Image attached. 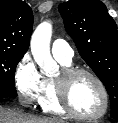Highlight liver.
Returning a JSON list of instances; mask_svg holds the SVG:
<instances>
[{"instance_id":"liver-1","label":"liver","mask_w":118,"mask_h":123,"mask_svg":"<svg viewBox=\"0 0 118 123\" xmlns=\"http://www.w3.org/2000/svg\"><path fill=\"white\" fill-rule=\"evenodd\" d=\"M0 123H65L57 118H44L24 114L17 110H6L0 106Z\"/></svg>"}]
</instances>
